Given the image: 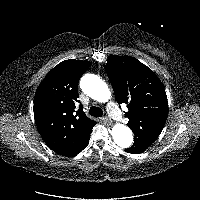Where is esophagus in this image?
Here are the masks:
<instances>
[{"instance_id": "esophagus-1", "label": "esophagus", "mask_w": 200, "mask_h": 200, "mask_svg": "<svg viewBox=\"0 0 200 200\" xmlns=\"http://www.w3.org/2000/svg\"><path fill=\"white\" fill-rule=\"evenodd\" d=\"M104 120H105V122H107V123H109V124L112 123L111 119H110L108 116H106V117L104 118Z\"/></svg>"}]
</instances>
